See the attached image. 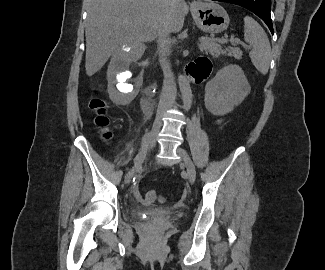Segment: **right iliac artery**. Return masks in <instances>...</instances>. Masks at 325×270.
Wrapping results in <instances>:
<instances>
[{
	"label": "right iliac artery",
	"instance_id": "right-iliac-artery-1",
	"mask_svg": "<svg viewBox=\"0 0 325 270\" xmlns=\"http://www.w3.org/2000/svg\"><path fill=\"white\" fill-rule=\"evenodd\" d=\"M148 146V135H145L142 141V146L141 149L139 151V153L137 154V156L135 157L134 161H137L141 156H143V154L145 153L146 149Z\"/></svg>",
	"mask_w": 325,
	"mask_h": 270
}]
</instances>
